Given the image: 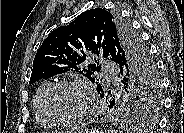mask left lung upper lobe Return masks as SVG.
<instances>
[{"instance_id": "1", "label": "left lung upper lobe", "mask_w": 184, "mask_h": 133, "mask_svg": "<svg viewBox=\"0 0 184 133\" xmlns=\"http://www.w3.org/2000/svg\"><path fill=\"white\" fill-rule=\"evenodd\" d=\"M91 54H103L120 68L124 85L120 84L115 92L109 91L115 98L108 103L112 104L113 114L153 119L161 104V82L155 62L131 26L118 14L102 8L87 10L49 34L34 58L29 83L76 71L95 83L100 94L105 89L94 75L101 66L98 62L84 66Z\"/></svg>"}]
</instances>
